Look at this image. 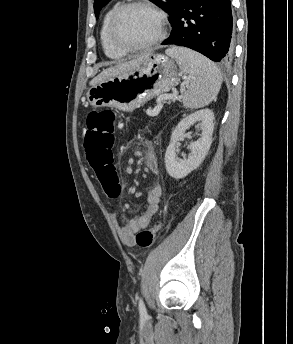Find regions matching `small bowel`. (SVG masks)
I'll list each match as a JSON object with an SVG mask.
<instances>
[{"label":"small bowel","mask_w":293,"mask_h":344,"mask_svg":"<svg viewBox=\"0 0 293 344\" xmlns=\"http://www.w3.org/2000/svg\"><path fill=\"white\" fill-rule=\"evenodd\" d=\"M138 154L142 155V159L146 169L150 173L157 175L159 173V164L152 147L147 144L146 150L144 152H138ZM105 173L110 179L116 178V173L113 165H111L109 170ZM124 188L125 185L123 184L122 189ZM161 195L162 187L159 183H155L147 193V207L140 216L132 218L126 222H124L117 214L113 216L117 232L123 245L128 247H132L135 245V234L139 230L146 228L151 223L152 219L158 211Z\"/></svg>","instance_id":"small-bowel-1"}]
</instances>
